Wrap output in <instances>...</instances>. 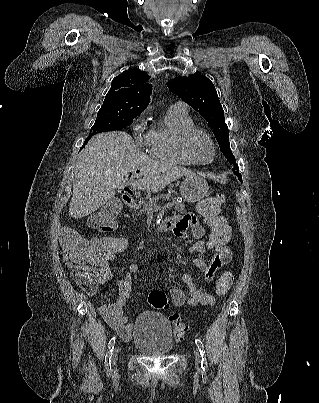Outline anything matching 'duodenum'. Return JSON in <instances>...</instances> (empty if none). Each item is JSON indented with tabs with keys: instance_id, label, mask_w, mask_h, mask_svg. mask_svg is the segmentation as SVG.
<instances>
[{
	"instance_id": "obj_1",
	"label": "duodenum",
	"mask_w": 319,
	"mask_h": 403,
	"mask_svg": "<svg viewBox=\"0 0 319 403\" xmlns=\"http://www.w3.org/2000/svg\"><path fill=\"white\" fill-rule=\"evenodd\" d=\"M122 200L128 208L136 209L140 206L139 200L135 197L133 192H126L122 196ZM174 229V221L172 218L162 220L156 225L158 231H169Z\"/></svg>"
}]
</instances>
